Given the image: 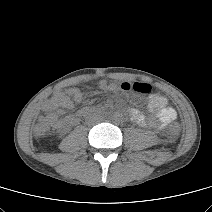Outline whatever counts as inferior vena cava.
Returning <instances> with one entry per match:
<instances>
[{
  "label": "inferior vena cava",
  "mask_w": 212,
  "mask_h": 212,
  "mask_svg": "<svg viewBox=\"0 0 212 212\" xmlns=\"http://www.w3.org/2000/svg\"><path fill=\"white\" fill-rule=\"evenodd\" d=\"M92 120H93L94 124H99L100 120H101V117H100V115L95 114V115H93Z\"/></svg>",
  "instance_id": "1"
}]
</instances>
